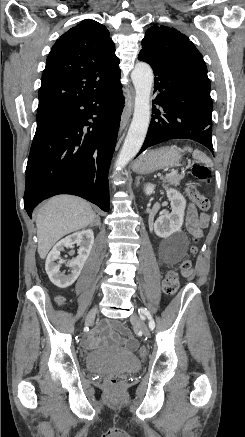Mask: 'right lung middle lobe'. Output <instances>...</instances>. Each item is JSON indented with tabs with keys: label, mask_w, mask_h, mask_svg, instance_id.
<instances>
[{
	"label": "right lung middle lobe",
	"mask_w": 245,
	"mask_h": 437,
	"mask_svg": "<svg viewBox=\"0 0 245 437\" xmlns=\"http://www.w3.org/2000/svg\"><path fill=\"white\" fill-rule=\"evenodd\" d=\"M46 112H47V111H44V112H38V113H37V120L40 119V118H42L43 115H44Z\"/></svg>",
	"instance_id": "obj_1"
}]
</instances>
